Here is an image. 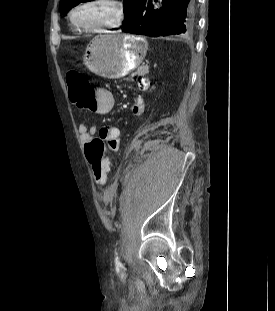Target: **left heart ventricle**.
I'll return each mask as SVG.
<instances>
[{"mask_svg":"<svg viewBox=\"0 0 275 311\" xmlns=\"http://www.w3.org/2000/svg\"><path fill=\"white\" fill-rule=\"evenodd\" d=\"M113 18V12L110 7L103 4L89 5L75 15L76 21L83 24H97L109 21Z\"/></svg>","mask_w":275,"mask_h":311,"instance_id":"1","label":"left heart ventricle"}]
</instances>
